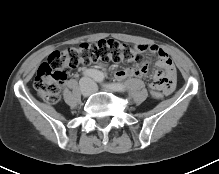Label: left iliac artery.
<instances>
[{
	"mask_svg": "<svg viewBox=\"0 0 219 174\" xmlns=\"http://www.w3.org/2000/svg\"><path fill=\"white\" fill-rule=\"evenodd\" d=\"M95 80L97 82L102 83L104 80V75L101 72H97V75L95 76ZM109 86L110 88H112L115 91H119V92H124L126 91V86L122 83H109V84H104Z\"/></svg>",
	"mask_w": 219,
	"mask_h": 174,
	"instance_id": "obj_1",
	"label": "left iliac artery"
}]
</instances>
